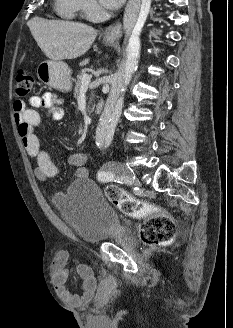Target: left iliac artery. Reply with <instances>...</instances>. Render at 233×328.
I'll return each mask as SVG.
<instances>
[{
	"label": "left iliac artery",
	"instance_id": "1",
	"mask_svg": "<svg viewBox=\"0 0 233 328\" xmlns=\"http://www.w3.org/2000/svg\"><path fill=\"white\" fill-rule=\"evenodd\" d=\"M115 178V175L110 171H100L98 172V180L101 182H109ZM118 182H123L122 180L118 179Z\"/></svg>",
	"mask_w": 233,
	"mask_h": 328
}]
</instances>
